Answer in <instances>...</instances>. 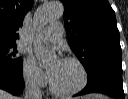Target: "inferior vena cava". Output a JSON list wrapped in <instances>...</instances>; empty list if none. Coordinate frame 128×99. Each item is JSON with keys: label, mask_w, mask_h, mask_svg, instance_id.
<instances>
[{"label": "inferior vena cava", "mask_w": 128, "mask_h": 99, "mask_svg": "<svg viewBox=\"0 0 128 99\" xmlns=\"http://www.w3.org/2000/svg\"><path fill=\"white\" fill-rule=\"evenodd\" d=\"M24 99H42L41 89L35 79L26 81Z\"/></svg>", "instance_id": "602c4592"}]
</instances>
